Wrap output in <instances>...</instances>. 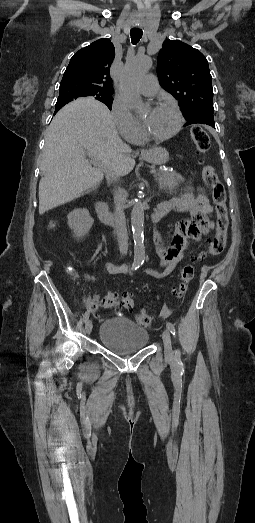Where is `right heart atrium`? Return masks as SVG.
Segmentation results:
<instances>
[{
  "instance_id": "obj_1",
  "label": "right heart atrium",
  "mask_w": 255,
  "mask_h": 523,
  "mask_svg": "<svg viewBox=\"0 0 255 523\" xmlns=\"http://www.w3.org/2000/svg\"><path fill=\"white\" fill-rule=\"evenodd\" d=\"M110 114L123 139L128 141L137 135L139 123L122 99L116 97L113 100Z\"/></svg>"
}]
</instances>
